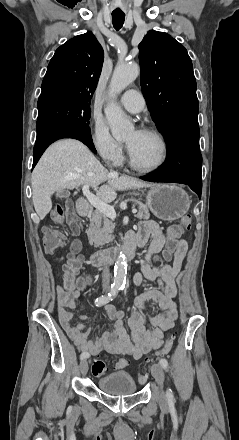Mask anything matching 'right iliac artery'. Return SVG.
<instances>
[{
  "label": "right iliac artery",
  "instance_id": "1",
  "mask_svg": "<svg viewBox=\"0 0 239 440\" xmlns=\"http://www.w3.org/2000/svg\"><path fill=\"white\" fill-rule=\"evenodd\" d=\"M119 290H120V288L118 286H113L111 291L107 295L101 296L95 300V305L99 307V306H102V305L108 303L113 298H115V296L118 294ZM88 357H89V354L87 352H82L80 355L81 360H84Z\"/></svg>",
  "mask_w": 239,
  "mask_h": 440
}]
</instances>
